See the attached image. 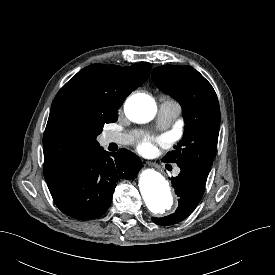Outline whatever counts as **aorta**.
Listing matches in <instances>:
<instances>
[{
  "mask_svg": "<svg viewBox=\"0 0 275 275\" xmlns=\"http://www.w3.org/2000/svg\"><path fill=\"white\" fill-rule=\"evenodd\" d=\"M157 111L155 100L143 93L131 96L125 103L127 117L136 123L151 121ZM139 189L147 208L154 214L170 210L174 203L168 181L157 171L145 169L139 176Z\"/></svg>",
  "mask_w": 275,
  "mask_h": 275,
  "instance_id": "aorta-1",
  "label": "aorta"
}]
</instances>
